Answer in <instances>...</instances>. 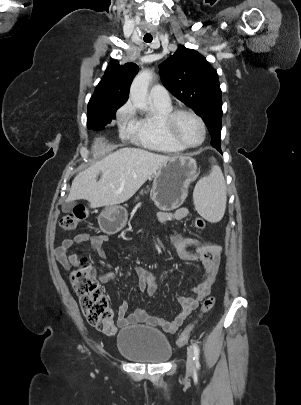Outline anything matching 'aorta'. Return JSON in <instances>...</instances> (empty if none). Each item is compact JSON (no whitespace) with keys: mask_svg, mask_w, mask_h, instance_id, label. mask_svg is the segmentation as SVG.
Returning a JSON list of instances; mask_svg holds the SVG:
<instances>
[{"mask_svg":"<svg viewBox=\"0 0 301 405\" xmlns=\"http://www.w3.org/2000/svg\"><path fill=\"white\" fill-rule=\"evenodd\" d=\"M152 71L143 70L133 80L130 88V99L134 106L140 110H146L148 87L152 80Z\"/></svg>","mask_w":301,"mask_h":405,"instance_id":"obj_1","label":"aorta"}]
</instances>
